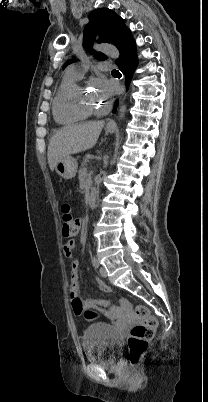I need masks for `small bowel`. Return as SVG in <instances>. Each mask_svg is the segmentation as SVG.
<instances>
[{"instance_id": "1", "label": "small bowel", "mask_w": 208, "mask_h": 402, "mask_svg": "<svg viewBox=\"0 0 208 402\" xmlns=\"http://www.w3.org/2000/svg\"><path fill=\"white\" fill-rule=\"evenodd\" d=\"M81 221H76L73 226L74 232H79L82 227ZM77 242L76 236L70 237V242L67 243L66 247L63 248L64 258L71 259L72 258V251L74 246ZM79 282H80V273L79 267L77 262L72 261L70 267V296L72 298L78 297L79 293ZM96 287L105 294L110 293V287L101 279L95 278L94 280ZM82 304L85 307L92 308V309H101L105 311V316L109 319L118 321L116 324L117 329L122 330L127 327V324L130 323L131 318L134 315L133 310L131 309V305L124 301L121 308L110 307L109 302L107 300H95L91 298H85L82 300Z\"/></svg>"}]
</instances>
